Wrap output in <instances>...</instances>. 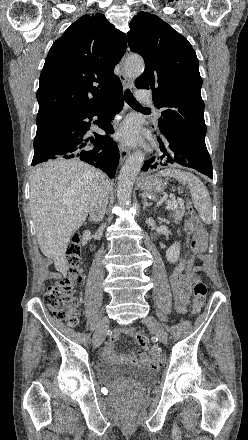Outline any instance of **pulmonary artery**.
<instances>
[{
  "label": "pulmonary artery",
  "mask_w": 248,
  "mask_h": 440,
  "mask_svg": "<svg viewBox=\"0 0 248 440\" xmlns=\"http://www.w3.org/2000/svg\"><path fill=\"white\" fill-rule=\"evenodd\" d=\"M137 97L142 100V101H149V96L146 92L144 91H137ZM157 116H159V113H157Z\"/></svg>",
  "instance_id": "obj_1"
}]
</instances>
